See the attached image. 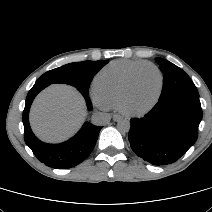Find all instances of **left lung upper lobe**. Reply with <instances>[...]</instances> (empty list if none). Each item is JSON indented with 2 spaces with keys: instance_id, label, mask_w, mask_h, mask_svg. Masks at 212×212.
Listing matches in <instances>:
<instances>
[{
  "instance_id": "left-lung-upper-lobe-1",
  "label": "left lung upper lobe",
  "mask_w": 212,
  "mask_h": 212,
  "mask_svg": "<svg viewBox=\"0 0 212 212\" xmlns=\"http://www.w3.org/2000/svg\"><path fill=\"white\" fill-rule=\"evenodd\" d=\"M156 61L164 77L163 88L159 100L179 94L199 97L194 83L182 69L160 57H157Z\"/></svg>"
}]
</instances>
